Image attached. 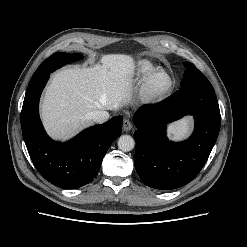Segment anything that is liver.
Returning a JSON list of instances; mask_svg holds the SVG:
<instances>
[{
    "instance_id": "obj_1",
    "label": "liver",
    "mask_w": 247,
    "mask_h": 247,
    "mask_svg": "<svg viewBox=\"0 0 247 247\" xmlns=\"http://www.w3.org/2000/svg\"><path fill=\"white\" fill-rule=\"evenodd\" d=\"M134 60L125 54H107L90 67L57 71L45 89L41 118L48 134L66 140L92 124L89 113L117 110L130 97Z\"/></svg>"
}]
</instances>
